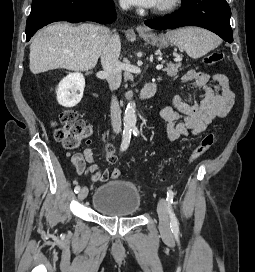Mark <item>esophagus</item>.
Wrapping results in <instances>:
<instances>
[{"label":"esophagus","instance_id":"34e87169","mask_svg":"<svg viewBox=\"0 0 255 272\" xmlns=\"http://www.w3.org/2000/svg\"><path fill=\"white\" fill-rule=\"evenodd\" d=\"M136 31L139 32V33H144V32H148V29L143 25H138L136 27Z\"/></svg>","mask_w":255,"mask_h":272}]
</instances>
